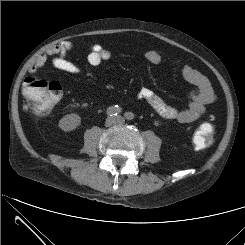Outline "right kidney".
Segmentation results:
<instances>
[{"instance_id":"right-kidney-1","label":"right kidney","mask_w":245,"mask_h":245,"mask_svg":"<svg viewBox=\"0 0 245 245\" xmlns=\"http://www.w3.org/2000/svg\"><path fill=\"white\" fill-rule=\"evenodd\" d=\"M81 123V118L78 114H67L60 119L58 126L68 132L75 130Z\"/></svg>"}]
</instances>
